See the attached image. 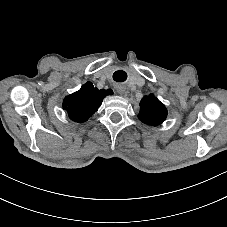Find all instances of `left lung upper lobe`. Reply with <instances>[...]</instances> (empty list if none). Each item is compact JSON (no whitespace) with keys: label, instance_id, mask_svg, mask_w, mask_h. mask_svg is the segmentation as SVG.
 <instances>
[{"label":"left lung upper lobe","instance_id":"1","mask_svg":"<svg viewBox=\"0 0 227 227\" xmlns=\"http://www.w3.org/2000/svg\"><path fill=\"white\" fill-rule=\"evenodd\" d=\"M167 116L165 106L153 95L145 96L140 103L139 119L148 125H159Z\"/></svg>","mask_w":227,"mask_h":227}]
</instances>
